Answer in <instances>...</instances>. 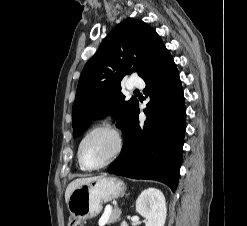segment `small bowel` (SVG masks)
I'll return each instance as SVG.
<instances>
[{
    "label": "small bowel",
    "mask_w": 247,
    "mask_h": 226,
    "mask_svg": "<svg viewBox=\"0 0 247 226\" xmlns=\"http://www.w3.org/2000/svg\"><path fill=\"white\" fill-rule=\"evenodd\" d=\"M120 226H127L126 224H121Z\"/></svg>",
    "instance_id": "small-bowel-1"
}]
</instances>
